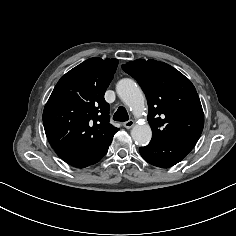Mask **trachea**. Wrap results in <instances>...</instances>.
Returning <instances> with one entry per match:
<instances>
[{"instance_id":"3493384b","label":"trachea","mask_w":236,"mask_h":236,"mask_svg":"<svg viewBox=\"0 0 236 236\" xmlns=\"http://www.w3.org/2000/svg\"><path fill=\"white\" fill-rule=\"evenodd\" d=\"M113 119L115 121H119V122H125V121H128L129 119V116H128V113L126 111V109L124 107H119L117 109V111L115 112L114 116H113Z\"/></svg>"}]
</instances>
